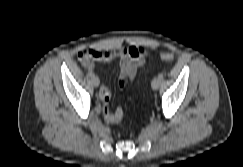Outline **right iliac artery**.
<instances>
[{
    "label": "right iliac artery",
    "instance_id": "obj_1",
    "mask_svg": "<svg viewBox=\"0 0 243 167\" xmlns=\"http://www.w3.org/2000/svg\"><path fill=\"white\" fill-rule=\"evenodd\" d=\"M88 75H89L90 77H93V76H94V73H93L92 71H89V72H88Z\"/></svg>",
    "mask_w": 243,
    "mask_h": 167
}]
</instances>
